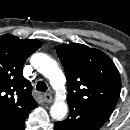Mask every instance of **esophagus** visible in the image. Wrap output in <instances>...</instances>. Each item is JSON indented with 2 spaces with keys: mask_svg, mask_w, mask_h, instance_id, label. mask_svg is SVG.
I'll list each match as a JSON object with an SVG mask.
<instances>
[{
  "mask_svg": "<svg viewBox=\"0 0 130 130\" xmlns=\"http://www.w3.org/2000/svg\"><path fill=\"white\" fill-rule=\"evenodd\" d=\"M52 100H53V97L51 94H49V93L44 94V101L46 103H50V102H52Z\"/></svg>",
  "mask_w": 130,
  "mask_h": 130,
  "instance_id": "34e87169",
  "label": "esophagus"
}]
</instances>
